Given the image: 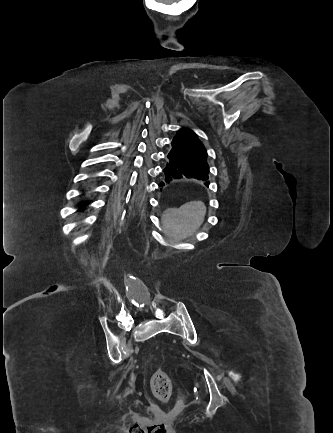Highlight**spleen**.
Listing matches in <instances>:
<instances>
[{
	"label": "spleen",
	"instance_id": "obj_1",
	"mask_svg": "<svg viewBox=\"0 0 333 433\" xmlns=\"http://www.w3.org/2000/svg\"><path fill=\"white\" fill-rule=\"evenodd\" d=\"M205 215L206 206L202 202L168 207L162 219L164 233L171 240L181 241L200 228Z\"/></svg>",
	"mask_w": 333,
	"mask_h": 433
}]
</instances>
